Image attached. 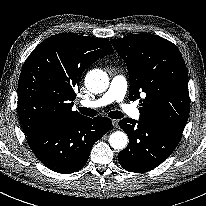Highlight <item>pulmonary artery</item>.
I'll return each instance as SVG.
<instances>
[{
	"mask_svg": "<svg viewBox=\"0 0 206 206\" xmlns=\"http://www.w3.org/2000/svg\"><path fill=\"white\" fill-rule=\"evenodd\" d=\"M127 91V82L122 75H116L111 80L107 92L99 99L93 101H83L81 105L87 108L104 107L112 102H121ZM124 111L131 117L138 119L140 113L133 105H123Z\"/></svg>",
	"mask_w": 206,
	"mask_h": 206,
	"instance_id": "e3ab8cb5",
	"label": "pulmonary artery"
}]
</instances>
